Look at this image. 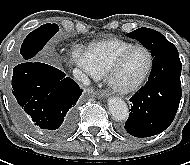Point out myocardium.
Listing matches in <instances>:
<instances>
[{
	"label": "myocardium",
	"mask_w": 190,
	"mask_h": 165,
	"mask_svg": "<svg viewBox=\"0 0 190 165\" xmlns=\"http://www.w3.org/2000/svg\"><path fill=\"white\" fill-rule=\"evenodd\" d=\"M135 49H143L147 52L148 57H149V63L147 66L146 71L144 72V74L141 76V78L139 80H137L135 83L130 84V85H121L119 83L116 82L115 80V76L117 74V72L119 71L125 57L133 50ZM153 65H154V56L151 52V50L146 47L145 45L142 44H134L130 47H128L127 49L123 50L115 59V61L113 62V64L111 65L110 69L108 70L107 74H106V80L109 84V86L114 89L115 91L122 93V94H127V93H131L134 92L136 90H138L147 80V78L149 77L152 69H153Z\"/></svg>",
	"instance_id": "f54148a6"
}]
</instances>
